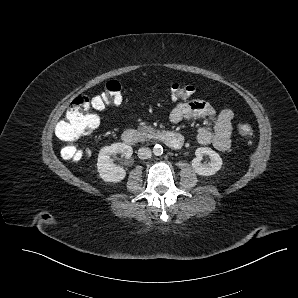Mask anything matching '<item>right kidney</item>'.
I'll list each match as a JSON object with an SVG mask.
<instances>
[{
  "instance_id": "ca27d5eb",
  "label": "right kidney",
  "mask_w": 298,
  "mask_h": 298,
  "mask_svg": "<svg viewBox=\"0 0 298 298\" xmlns=\"http://www.w3.org/2000/svg\"><path fill=\"white\" fill-rule=\"evenodd\" d=\"M117 153H121L122 157L128 159L132 156L133 149L130 145L114 142L109 146L101 148L98 154L97 168L100 176L105 181L118 182L125 177L124 168L110 161V156Z\"/></svg>"
}]
</instances>
